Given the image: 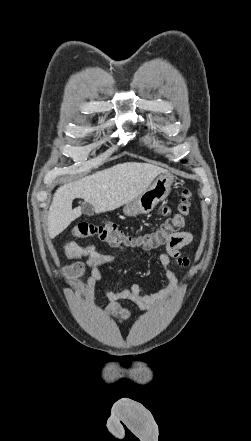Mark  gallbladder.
<instances>
[{
  "label": "gallbladder",
  "instance_id": "1",
  "mask_svg": "<svg viewBox=\"0 0 251 441\" xmlns=\"http://www.w3.org/2000/svg\"><path fill=\"white\" fill-rule=\"evenodd\" d=\"M81 211H82V213H84V214H86V215H91V214H93V208H92V206H91L89 203H87V202H85V203H83V204L81 205Z\"/></svg>",
  "mask_w": 251,
  "mask_h": 441
}]
</instances>
